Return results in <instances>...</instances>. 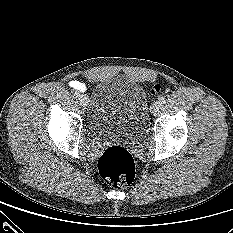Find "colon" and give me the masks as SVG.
Listing matches in <instances>:
<instances>
[{
  "label": "colon",
  "mask_w": 233,
  "mask_h": 233,
  "mask_svg": "<svg viewBox=\"0 0 233 233\" xmlns=\"http://www.w3.org/2000/svg\"><path fill=\"white\" fill-rule=\"evenodd\" d=\"M160 85L152 87V93H157ZM98 171L102 178L113 188L127 187L135 176V164L131 154L123 147L113 145L108 147L98 159Z\"/></svg>",
  "instance_id": "obj_1"
}]
</instances>
